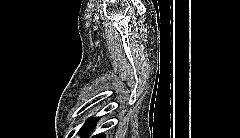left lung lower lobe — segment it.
Masks as SVG:
<instances>
[{
	"label": "left lung lower lobe",
	"instance_id": "1",
	"mask_svg": "<svg viewBox=\"0 0 240 138\" xmlns=\"http://www.w3.org/2000/svg\"><path fill=\"white\" fill-rule=\"evenodd\" d=\"M96 121H97V118L91 119V121L83 129L81 134H84V133H87V132H91L93 130L94 126H95ZM92 138H105V135L104 134H97V135L93 136Z\"/></svg>",
	"mask_w": 240,
	"mask_h": 138
}]
</instances>
